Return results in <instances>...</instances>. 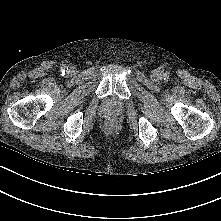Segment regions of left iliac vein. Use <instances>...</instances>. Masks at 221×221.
Segmentation results:
<instances>
[{"label": "left iliac vein", "instance_id": "1", "mask_svg": "<svg viewBox=\"0 0 221 221\" xmlns=\"http://www.w3.org/2000/svg\"><path fill=\"white\" fill-rule=\"evenodd\" d=\"M151 79L158 81L161 79V72L159 70H153L150 75Z\"/></svg>", "mask_w": 221, "mask_h": 221}]
</instances>
